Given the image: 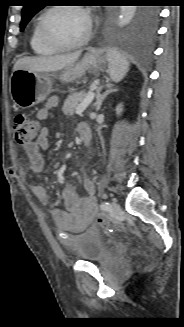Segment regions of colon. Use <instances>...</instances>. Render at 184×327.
I'll list each match as a JSON object with an SVG mask.
<instances>
[{
	"label": "colon",
	"instance_id": "1",
	"mask_svg": "<svg viewBox=\"0 0 184 327\" xmlns=\"http://www.w3.org/2000/svg\"><path fill=\"white\" fill-rule=\"evenodd\" d=\"M12 130L16 142L23 147L32 144L39 133V123L26 114H17L12 123ZM97 222L101 225L108 224L104 215L97 216Z\"/></svg>",
	"mask_w": 184,
	"mask_h": 327
}]
</instances>
